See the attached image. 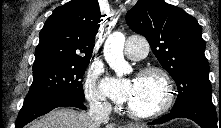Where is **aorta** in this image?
I'll return each instance as SVG.
<instances>
[{"label": "aorta", "mask_w": 221, "mask_h": 128, "mask_svg": "<svg viewBox=\"0 0 221 128\" xmlns=\"http://www.w3.org/2000/svg\"><path fill=\"white\" fill-rule=\"evenodd\" d=\"M124 43L125 35L121 32H113L106 39L103 49L105 60L119 77L132 71L131 66L124 59Z\"/></svg>", "instance_id": "obj_1"}]
</instances>
